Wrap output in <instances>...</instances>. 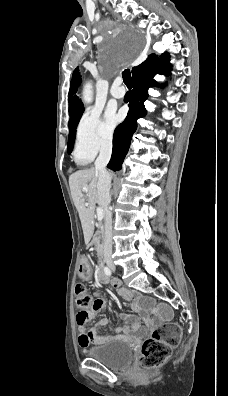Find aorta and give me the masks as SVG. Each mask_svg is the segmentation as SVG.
Segmentation results:
<instances>
[{"instance_id":"762f6f07","label":"aorta","mask_w":228,"mask_h":396,"mask_svg":"<svg viewBox=\"0 0 228 396\" xmlns=\"http://www.w3.org/2000/svg\"><path fill=\"white\" fill-rule=\"evenodd\" d=\"M92 84L90 82L86 83L83 89V101L86 104H89L92 102L93 99V90H92Z\"/></svg>"}]
</instances>
